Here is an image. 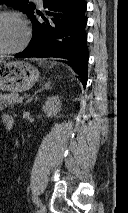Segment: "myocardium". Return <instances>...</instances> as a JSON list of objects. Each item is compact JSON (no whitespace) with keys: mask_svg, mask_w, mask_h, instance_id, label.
Wrapping results in <instances>:
<instances>
[{"mask_svg":"<svg viewBox=\"0 0 128 213\" xmlns=\"http://www.w3.org/2000/svg\"><path fill=\"white\" fill-rule=\"evenodd\" d=\"M0 16H12L18 19L24 29V36L20 44L12 49L0 50V55H12L23 51L29 44L31 38V29L28 20L21 12L13 9L0 10Z\"/></svg>","mask_w":128,"mask_h":213,"instance_id":"1","label":"myocardium"}]
</instances>
